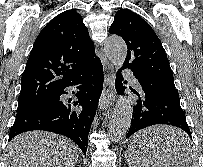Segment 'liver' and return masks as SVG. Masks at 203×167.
Here are the masks:
<instances>
[{
  "instance_id": "obj_1",
  "label": "liver",
  "mask_w": 203,
  "mask_h": 167,
  "mask_svg": "<svg viewBox=\"0 0 203 167\" xmlns=\"http://www.w3.org/2000/svg\"><path fill=\"white\" fill-rule=\"evenodd\" d=\"M187 142V135L168 126H155L137 133L132 145L155 149L158 160L179 167V162L188 160L190 147H178ZM150 145V146H149ZM78 160L76 145L69 139L44 131H31L15 137L7 146L5 167H75Z\"/></svg>"
}]
</instances>
